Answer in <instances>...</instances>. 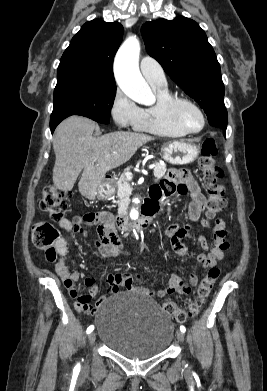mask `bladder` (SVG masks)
<instances>
[{"label": "bladder", "mask_w": 267, "mask_h": 391, "mask_svg": "<svg viewBox=\"0 0 267 391\" xmlns=\"http://www.w3.org/2000/svg\"><path fill=\"white\" fill-rule=\"evenodd\" d=\"M96 327L102 344L131 359L163 353L174 337V324L158 303L130 291L113 294L101 304Z\"/></svg>", "instance_id": "31cf9c89"}]
</instances>
